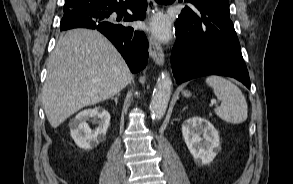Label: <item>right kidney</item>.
I'll return each instance as SVG.
<instances>
[{"mask_svg":"<svg viewBox=\"0 0 293 184\" xmlns=\"http://www.w3.org/2000/svg\"><path fill=\"white\" fill-rule=\"evenodd\" d=\"M90 118H94L98 124L95 130H91L87 123ZM109 124L110 114L105 109L101 107L87 109L78 113L69 122L70 135L79 148L90 150L106 138Z\"/></svg>","mask_w":293,"mask_h":184,"instance_id":"1","label":"right kidney"}]
</instances>
